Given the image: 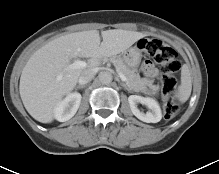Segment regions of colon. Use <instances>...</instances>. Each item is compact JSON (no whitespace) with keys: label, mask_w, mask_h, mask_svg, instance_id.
Masks as SVG:
<instances>
[{"label":"colon","mask_w":219,"mask_h":174,"mask_svg":"<svg viewBox=\"0 0 219 174\" xmlns=\"http://www.w3.org/2000/svg\"><path fill=\"white\" fill-rule=\"evenodd\" d=\"M139 45L161 66L162 92L165 98L164 116L166 119H173L179 112V106L175 102L176 73L181 65L177 52L164 41L156 38L141 40Z\"/></svg>","instance_id":"obj_1"}]
</instances>
